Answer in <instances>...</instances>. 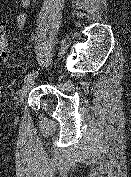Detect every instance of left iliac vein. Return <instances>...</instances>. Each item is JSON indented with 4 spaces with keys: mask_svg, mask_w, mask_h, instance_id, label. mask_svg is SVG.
Listing matches in <instances>:
<instances>
[{
    "mask_svg": "<svg viewBox=\"0 0 131 177\" xmlns=\"http://www.w3.org/2000/svg\"><path fill=\"white\" fill-rule=\"evenodd\" d=\"M36 78H37V75L33 77L32 79L25 82V84L23 85L19 93V100H20L19 103H21L25 99L30 89L36 84V81H37Z\"/></svg>",
    "mask_w": 131,
    "mask_h": 177,
    "instance_id": "left-iliac-vein-1",
    "label": "left iliac vein"
}]
</instances>
